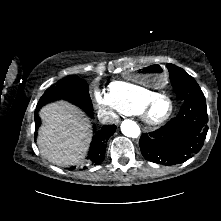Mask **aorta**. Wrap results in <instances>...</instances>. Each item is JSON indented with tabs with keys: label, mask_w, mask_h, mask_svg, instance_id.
<instances>
[{
	"label": "aorta",
	"mask_w": 221,
	"mask_h": 221,
	"mask_svg": "<svg viewBox=\"0 0 221 221\" xmlns=\"http://www.w3.org/2000/svg\"><path fill=\"white\" fill-rule=\"evenodd\" d=\"M121 132L130 138H137L140 135L138 124L132 120H124L121 124Z\"/></svg>",
	"instance_id": "762f6f07"
}]
</instances>
